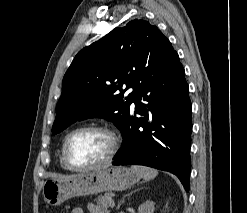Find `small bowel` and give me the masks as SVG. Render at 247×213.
Listing matches in <instances>:
<instances>
[{"instance_id":"1","label":"small bowel","mask_w":247,"mask_h":213,"mask_svg":"<svg viewBox=\"0 0 247 213\" xmlns=\"http://www.w3.org/2000/svg\"><path fill=\"white\" fill-rule=\"evenodd\" d=\"M90 213H102V211L94 204L89 205ZM71 213H84L80 207H75L72 209Z\"/></svg>"}]
</instances>
